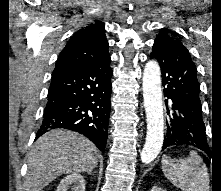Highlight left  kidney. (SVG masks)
Masks as SVG:
<instances>
[{
    "label": "left kidney",
    "instance_id": "obj_1",
    "mask_svg": "<svg viewBox=\"0 0 221 191\" xmlns=\"http://www.w3.org/2000/svg\"><path fill=\"white\" fill-rule=\"evenodd\" d=\"M150 191H166V190H164V189H162V188H159V187H157V186H153Z\"/></svg>",
    "mask_w": 221,
    "mask_h": 191
}]
</instances>
